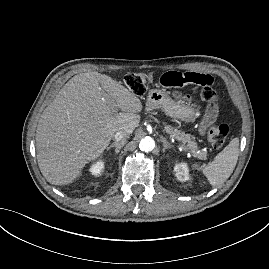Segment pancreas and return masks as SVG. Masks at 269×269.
<instances>
[{"label": "pancreas", "mask_w": 269, "mask_h": 269, "mask_svg": "<svg viewBox=\"0 0 269 269\" xmlns=\"http://www.w3.org/2000/svg\"><path fill=\"white\" fill-rule=\"evenodd\" d=\"M165 131L171 137L181 141L185 144L186 149L192 153V155L198 159L206 160L207 159V151L205 149H199L197 143L184 132L174 129L170 126H165Z\"/></svg>", "instance_id": "pancreas-1"}]
</instances>
